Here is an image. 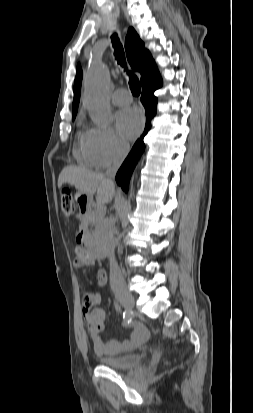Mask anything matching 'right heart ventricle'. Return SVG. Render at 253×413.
Masks as SVG:
<instances>
[{
	"instance_id": "obj_1",
	"label": "right heart ventricle",
	"mask_w": 253,
	"mask_h": 413,
	"mask_svg": "<svg viewBox=\"0 0 253 413\" xmlns=\"http://www.w3.org/2000/svg\"><path fill=\"white\" fill-rule=\"evenodd\" d=\"M75 156L79 161L82 163L88 165V166H96L85 143H84V136L81 139V142L79 144V147L75 151Z\"/></svg>"
}]
</instances>
